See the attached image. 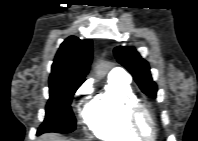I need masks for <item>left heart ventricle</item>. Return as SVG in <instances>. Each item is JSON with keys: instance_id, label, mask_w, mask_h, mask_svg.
Listing matches in <instances>:
<instances>
[{"instance_id": "obj_1", "label": "left heart ventricle", "mask_w": 198, "mask_h": 141, "mask_svg": "<svg viewBox=\"0 0 198 141\" xmlns=\"http://www.w3.org/2000/svg\"><path fill=\"white\" fill-rule=\"evenodd\" d=\"M140 125L145 132L146 135H151L152 134V126L145 116L140 117Z\"/></svg>"}]
</instances>
